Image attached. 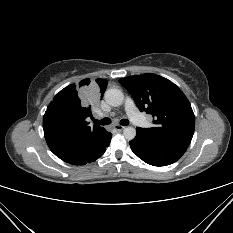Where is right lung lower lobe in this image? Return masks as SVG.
<instances>
[{"label":"right lung lower lobe","instance_id":"98d812e1","mask_svg":"<svg viewBox=\"0 0 233 233\" xmlns=\"http://www.w3.org/2000/svg\"><path fill=\"white\" fill-rule=\"evenodd\" d=\"M111 137H112L111 133L108 132L107 139L104 141L101 147L89 157H86L82 160H63V161L73 165H85L86 163L93 162L105 152L106 147H108V145L110 144Z\"/></svg>","mask_w":233,"mask_h":233}]
</instances>
